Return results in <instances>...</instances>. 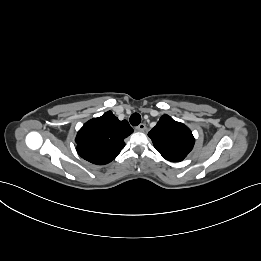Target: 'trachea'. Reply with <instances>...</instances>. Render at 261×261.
Returning <instances> with one entry per match:
<instances>
[{"label": "trachea", "mask_w": 261, "mask_h": 261, "mask_svg": "<svg viewBox=\"0 0 261 261\" xmlns=\"http://www.w3.org/2000/svg\"><path fill=\"white\" fill-rule=\"evenodd\" d=\"M140 122H141V116L139 113H133L130 116V123L132 126H137L140 124Z\"/></svg>", "instance_id": "trachea-1"}]
</instances>
